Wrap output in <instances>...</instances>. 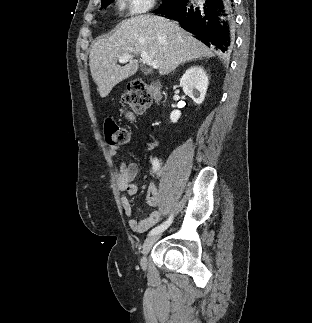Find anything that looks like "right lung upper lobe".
Segmentation results:
<instances>
[{
    "label": "right lung upper lobe",
    "instance_id": "cb5924a9",
    "mask_svg": "<svg viewBox=\"0 0 312 323\" xmlns=\"http://www.w3.org/2000/svg\"><path fill=\"white\" fill-rule=\"evenodd\" d=\"M107 1H109V0H102V3H106Z\"/></svg>",
    "mask_w": 312,
    "mask_h": 323
}]
</instances>
